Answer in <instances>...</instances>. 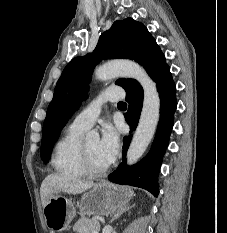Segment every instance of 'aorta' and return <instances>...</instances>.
I'll list each match as a JSON object with an SVG mask.
<instances>
[{
	"instance_id": "aorta-1",
	"label": "aorta",
	"mask_w": 227,
	"mask_h": 233,
	"mask_svg": "<svg viewBox=\"0 0 227 233\" xmlns=\"http://www.w3.org/2000/svg\"><path fill=\"white\" fill-rule=\"evenodd\" d=\"M128 77L137 80L144 91L143 108L137 129L127 151V164H135L151 142L160 117V98L155 82L137 63L127 60L108 62L95 70L98 80L106 81L115 77ZM98 137L94 130L86 134L87 140Z\"/></svg>"
}]
</instances>
